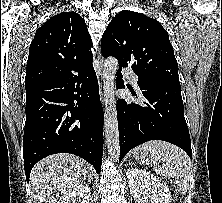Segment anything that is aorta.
<instances>
[{"instance_id":"1","label":"aorta","mask_w":222,"mask_h":203,"mask_svg":"<svg viewBox=\"0 0 222 203\" xmlns=\"http://www.w3.org/2000/svg\"><path fill=\"white\" fill-rule=\"evenodd\" d=\"M118 69V60L115 57H108L103 68V91H104V117L105 137L108 154L115 161L119 160L120 144L119 130L115 99V74Z\"/></svg>"}]
</instances>
